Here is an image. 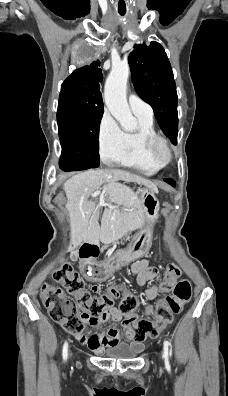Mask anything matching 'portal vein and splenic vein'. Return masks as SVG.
Instances as JSON below:
<instances>
[{
  "mask_svg": "<svg viewBox=\"0 0 228 396\" xmlns=\"http://www.w3.org/2000/svg\"><path fill=\"white\" fill-rule=\"evenodd\" d=\"M99 195H100L101 201H103L104 191H103L102 193H101L100 191H96V192H94V193L92 194V197L95 198V197H97V196H99Z\"/></svg>",
  "mask_w": 228,
  "mask_h": 396,
  "instance_id": "18ae733b",
  "label": "portal vein and splenic vein"
}]
</instances>
